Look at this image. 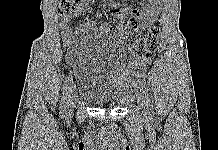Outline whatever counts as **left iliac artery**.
<instances>
[{"label":"left iliac artery","mask_w":218,"mask_h":150,"mask_svg":"<svg viewBox=\"0 0 218 150\" xmlns=\"http://www.w3.org/2000/svg\"><path fill=\"white\" fill-rule=\"evenodd\" d=\"M140 86H141V91L144 94L145 98H146V104L148 106V110L151 116L154 115V112L152 110V106L150 104V99H149V94H148V86H147V82L145 79H141L140 81Z\"/></svg>","instance_id":"44dca946"}]
</instances>
